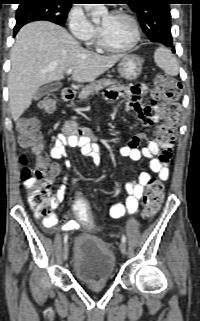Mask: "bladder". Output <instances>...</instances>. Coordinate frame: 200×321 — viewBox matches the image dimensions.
<instances>
[{"label":"bladder","mask_w":200,"mask_h":321,"mask_svg":"<svg viewBox=\"0 0 200 321\" xmlns=\"http://www.w3.org/2000/svg\"><path fill=\"white\" fill-rule=\"evenodd\" d=\"M115 257L100 238L81 233L73 239L72 267L83 283L96 284L110 281L115 272Z\"/></svg>","instance_id":"bladder-1"}]
</instances>
